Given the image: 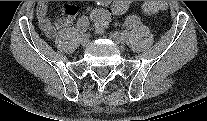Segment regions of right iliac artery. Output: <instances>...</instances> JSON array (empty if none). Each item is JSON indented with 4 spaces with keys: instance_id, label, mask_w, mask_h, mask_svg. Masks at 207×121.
I'll list each match as a JSON object with an SVG mask.
<instances>
[{
    "instance_id": "right-iliac-artery-1",
    "label": "right iliac artery",
    "mask_w": 207,
    "mask_h": 121,
    "mask_svg": "<svg viewBox=\"0 0 207 121\" xmlns=\"http://www.w3.org/2000/svg\"><path fill=\"white\" fill-rule=\"evenodd\" d=\"M89 21L88 18L83 16L78 20L77 26L78 29L81 31L82 34H85L87 31V27H88Z\"/></svg>"
}]
</instances>
